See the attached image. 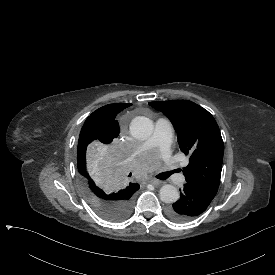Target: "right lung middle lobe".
Returning a JSON list of instances; mask_svg holds the SVG:
<instances>
[{
    "instance_id": "obj_1",
    "label": "right lung middle lobe",
    "mask_w": 275,
    "mask_h": 275,
    "mask_svg": "<svg viewBox=\"0 0 275 275\" xmlns=\"http://www.w3.org/2000/svg\"><path fill=\"white\" fill-rule=\"evenodd\" d=\"M79 176L88 204L101 217L120 221L131 212L132 195L124 196L129 154L121 148L104 147L96 136L83 135L78 140Z\"/></svg>"
}]
</instances>
